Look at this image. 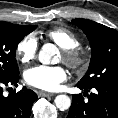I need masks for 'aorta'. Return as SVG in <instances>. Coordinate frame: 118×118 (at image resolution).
I'll list each match as a JSON object with an SVG mask.
<instances>
[{
	"instance_id": "1",
	"label": "aorta",
	"mask_w": 118,
	"mask_h": 118,
	"mask_svg": "<svg viewBox=\"0 0 118 118\" xmlns=\"http://www.w3.org/2000/svg\"><path fill=\"white\" fill-rule=\"evenodd\" d=\"M56 53V47L53 44H45L39 52V61L42 64H51L52 56ZM56 107L61 110H67L71 106V100L67 95H58L55 100Z\"/></svg>"
}]
</instances>
